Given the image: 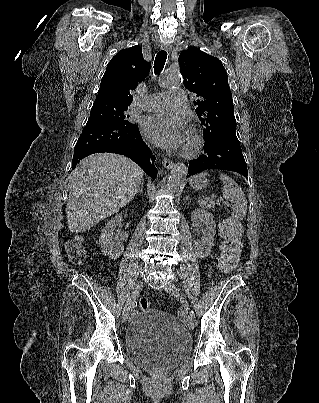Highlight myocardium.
<instances>
[{"label": "myocardium", "mask_w": 319, "mask_h": 403, "mask_svg": "<svg viewBox=\"0 0 319 403\" xmlns=\"http://www.w3.org/2000/svg\"><path fill=\"white\" fill-rule=\"evenodd\" d=\"M204 146V140L196 129H191L188 144L181 151V155L186 158L198 156Z\"/></svg>", "instance_id": "obj_1"}]
</instances>
